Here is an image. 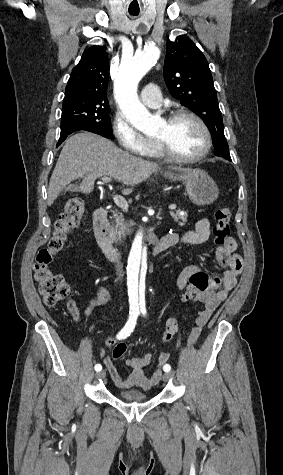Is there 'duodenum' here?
Instances as JSON below:
<instances>
[{
  "label": "duodenum",
  "instance_id": "duodenum-1",
  "mask_svg": "<svg viewBox=\"0 0 283 475\" xmlns=\"http://www.w3.org/2000/svg\"><path fill=\"white\" fill-rule=\"evenodd\" d=\"M93 228L97 244L99 245L105 256L112 261L118 260L120 257V253L113 246L109 237V218L106 209L100 208L95 211L93 218ZM172 245L173 241L169 238L168 235H166L152 244L150 252L154 255L171 247Z\"/></svg>",
  "mask_w": 283,
  "mask_h": 475
}]
</instances>
